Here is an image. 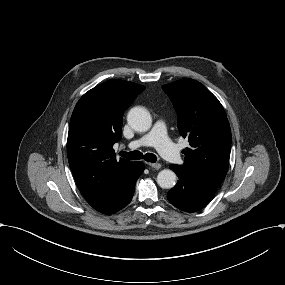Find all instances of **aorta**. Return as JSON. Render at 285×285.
Masks as SVG:
<instances>
[{
    "mask_svg": "<svg viewBox=\"0 0 285 285\" xmlns=\"http://www.w3.org/2000/svg\"><path fill=\"white\" fill-rule=\"evenodd\" d=\"M128 124L137 132H146L151 128L152 117L143 107L132 108L127 115ZM176 174L170 169H164L157 175V183L161 188L171 189L174 187Z\"/></svg>",
    "mask_w": 285,
    "mask_h": 285,
    "instance_id": "obj_1",
    "label": "aorta"
}]
</instances>
